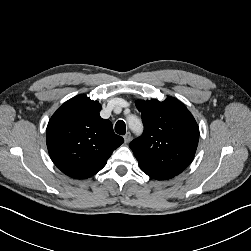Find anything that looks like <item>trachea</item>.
Here are the masks:
<instances>
[{
    "label": "trachea",
    "instance_id": "obj_1",
    "mask_svg": "<svg viewBox=\"0 0 251 251\" xmlns=\"http://www.w3.org/2000/svg\"><path fill=\"white\" fill-rule=\"evenodd\" d=\"M115 132L119 135H124L126 133V125L124 121L118 120L115 124Z\"/></svg>",
    "mask_w": 251,
    "mask_h": 251
}]
</instances>
